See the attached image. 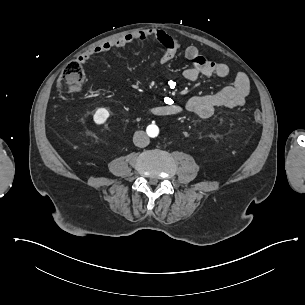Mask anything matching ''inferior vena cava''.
Instances as JSON below:
<instances>
[{
	"mask_svg": "<svg viewBox=\"0 0 305 305\" xmlns=\"http://www.w3.org/2000/svg\"><path fill=\"white\" fill-rule=\"evenodd\" d=\"M133 143L137 147H146L149 144V137L144 131H137L134 133Z\"/></svg>",
	"mask_w": 305,
	"mask_h": 305,
	"instance_id": "inferior-vena-cava-1",
	"label": "inferior vena cava"
}]
</instances>
